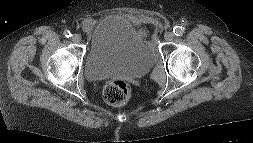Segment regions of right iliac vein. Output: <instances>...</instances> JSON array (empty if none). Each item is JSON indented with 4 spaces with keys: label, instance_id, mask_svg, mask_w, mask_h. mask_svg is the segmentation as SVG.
<instances>
[{
    "label": "right iliac vein",
    "instance_id": "63e3f726",
    "mask_svg": "<svg viewBox=\"0 0 253 143\" xmlns=\"http://www.w3.org/2000/svg\"><path fill=\"white\" fill-rule=\"evenodd\" d=\"M72 41L74 42V43H80L81 42V35L80 34H74L73 36H72Z\"/></svg>",
    "mask_w": 253,
    "mask_h": 143
}]
</instances>
